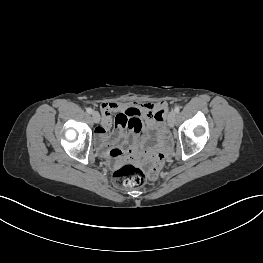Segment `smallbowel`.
<instances>
[{"mask_svg":"<svg viewBox=\"0 0 263 263\" xmlns=\"http://www.w3.org/2000/svg\"><path fill=\"white\" fill-rule=\"evenodd\" d=\"M100 110L102 122L97 129L96 142L104 154L121 161L127 158L136 159L147 141L156 144L163 137L166 120L174 108L165 101L109 102L101 104ZM150 152L153 154L152 161L149 157H144L142 166L150 167L149 176L157 179L165 153L161 145H152Z\"/></svg>","mask_w":263,"mask_h":263,"instance_id":"c3829d8e","label":"small bowel"}]
</instances>
